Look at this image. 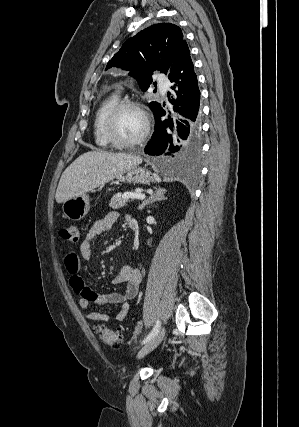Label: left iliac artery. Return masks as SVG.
Here are the masks:
<instances>
[{"label": "left iliac artery", "mask_w": 299, "mask_h": 427, "mask_svg": "<svg viewBox=\"0 0 299 427\" xmlns=\"http://www.w3.org/2000/svg\"><path fill=\"white\" fill-rule=\"evenodd\" d=\"M160 326H161V323L159 320H157L154 328L148 334V336L142 341V344H145V343L149 342L152 338H154L158 334V332L160 330Z\"/></svg>", "instance_id": "1"}]
</instances>
